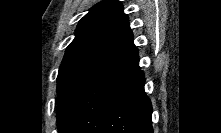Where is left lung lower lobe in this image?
<instances>
[{"label":"left lung lower lobe","instance_id":"obj_1","mask_svg":"<svg viewBox=\"0 0 221 133\" xmlns=\"http://www.w3.org/2000/svg\"><path fill=\"white\" fill-rule=\"evenodd\" d=\"M144 82L134 48L81 92L58 133H153Z\"/></svg>","mask_w":221,"mask_h":133}]
</instances>
